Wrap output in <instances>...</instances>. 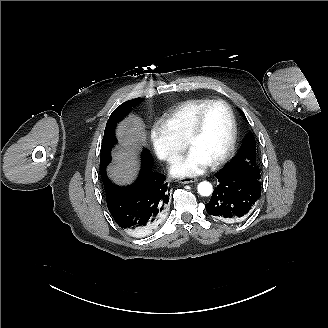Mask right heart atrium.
Instances as JSON below:
<instances>
[{"mask_svg": "<svg viewBox=\"0 0 328 328\" xmlns=\"http://www.w3.org/2000/svg\"><path fill=\"white\" fill-rule=\"evenodd\" d=\"M148 135L156 156L164 162H171L183 150V145L177 142L158 121L150 125Z\"/></svg>", "mask_w": 328, "mask_h": 328, "instance_id": "1", "label": "right heart atrium"}]
</instances>
